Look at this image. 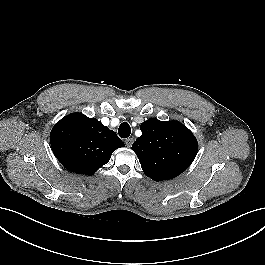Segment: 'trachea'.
<instances>
[{"label": "trachea", "mask_w": 265, "mask_h": 265, "mask_svg": "<svg viewBox=\"0 0 265 265\" xmlns=\"http://www.w3.org/2000/svg\"><path fill=\"white\" fill-rule=\"evenodd\" d=\"M118 134L121 138H128L131 134L130 125L127 122L121 123L118 129Z\"/></svg>", "instance_id": "obj_1"}]
</instances>
